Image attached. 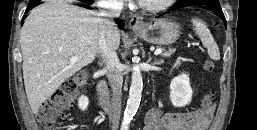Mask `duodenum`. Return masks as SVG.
<instances>
[{
  "label": "duodenum",
  "mask_w": 257,
  "mask_h": 130,
  "mask_svg": "<svg viewBox=\"0 0 257 130\" xmlns=\"http://www.w3.org/2000/svg\"><path fill=\"white\" fill-rule=\"evenodd\" d=\"M97 94H98L99 100L101 101L103 106L106 109H109V107H110V95H109L108 88H107L104 81H99L98 82V84H97Z\"/></svg>",
  "instance_id": "duodenum-1"
}]
</instances>
